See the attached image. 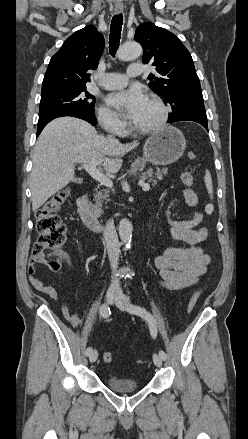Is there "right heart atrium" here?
Returning <instances> with one entry per match:
<instances>
[{
  "instance_id": "right-heart-atrium-1",
  "label": "right heart atrium",
  "mask_w": 248,
  "mask_h": 439,
  "mask_svg": "<svg viewBox=\"0 0 248 439\" xmlns=\"http://www.w3.org/2000/svg\"><path fill=\"white\" fill-rule=\"evenodd\" d=\"M97 119L100 126L111 134L122 135L126 131V122L108 107L100 106L98 108Z\"/></svg>"
}]
</instances>
